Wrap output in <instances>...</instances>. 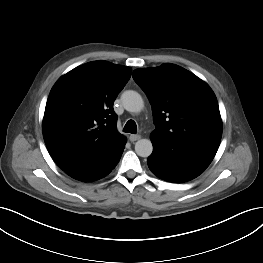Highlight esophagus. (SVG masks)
I'll return each instance as SVG.
<instances>
[{
  "label": "esophagus",
  "instance_id": "obj_1",
  "mask_svg": "<svg viewBox=\"0 0 263 263\" xmlns=\"http://www.w3.org/2000/svg\"><path fill=\"white\" fill-rule=\"evenodd\" d=\"M140 138H141V136L138 135V134H132V135H130V137H129V139H130L131 142H135V141L139 140Z\"/></svg>",
  "mask_w": 263,
  "mask_h": 263
}]
</instances>
